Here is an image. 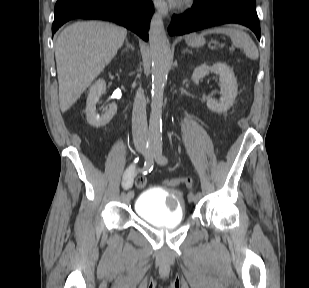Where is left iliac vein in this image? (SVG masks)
<instances>
[{
  "mask_svg": "<svg viewBox=\"0 0 309 288\" xmlns=\"http://www.w3.org/2000/svg\"><path fill=\"white\" fill-rule=\"evenodd\" d=\"M188 199H189V201H191V202H197V201L199 200L198 197H193L192 194H189Z\"/></svg>",
  "mask_w": 309,
  "mask_h": 288,
  "instance_id": "obj_1",
  "label": "left iliac vein"
}]
</instances>
